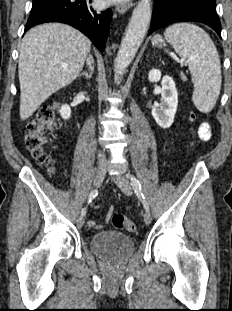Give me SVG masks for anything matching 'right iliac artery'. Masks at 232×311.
<instances>
[{
    "label": "right iliac artery",
    "instance_id": "82829eb1",
    "mask_svg": "<svg viewBox=\"0 0 232 311\" xmlns=\"http://www.w3.org/2000/svg\"><path fill=\"white\" fill-rule=\"evenodd\" d=\"M97 195H98V191L96 189L92 190L88 196V203H90ZM85 214H86V208H83L81 210V215L84 216Z\"/></svg>",
    "mask_w": 232,
    "mask_h": 311
}]
</instances>
